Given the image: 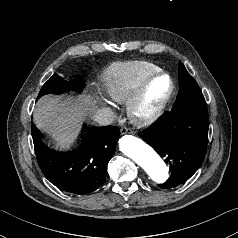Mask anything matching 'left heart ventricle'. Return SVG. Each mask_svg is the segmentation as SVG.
Returning <instances> with one entry per match:
<instances>
[{
  "label": "left heart ventricle",
  "instance_id": "1",
  "mask_svg": "<svg viewBox=\"0 0 238 238\" xmlns=\"http://www.w3.org/2000/svg\"><path fill=\"white\" fill-rule=\"evenodd\" d=\"M169 88L166 78L155 80L149 87L144 102L141 106L142 113L153 111L161 102Z\"/></svg>",
  "mask_w": 238,
  "mask_h": 238
}]
</instances>
